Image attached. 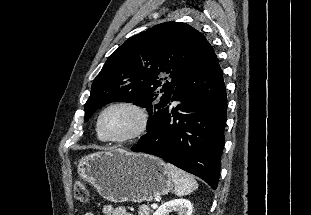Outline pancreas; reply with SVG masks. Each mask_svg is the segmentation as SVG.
<instances>
[{"label": "pancreas", "instance_id": "cf45deb5", "mask_svg": "<svg viewBox=\"0 0 311 215\" xmlns=\"http://www.w3.org/2000/svg\"><path fill=\"white\" fill-rule=\"evenodd\" d=\"M152 209L149 206L142 205L139 207L138 215H150Z\"/></svg>", "mask_w": 311, "mask_h": 215}]
</instances>
